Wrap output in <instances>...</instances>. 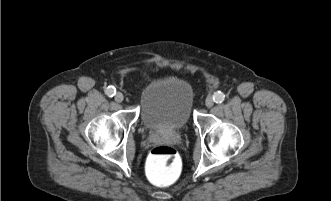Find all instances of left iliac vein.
Masks as SVG:
<instances>
[{"label": "left iliac vein", "mask_w": 331, "mask_h": 201, "mask_svg": "<svg viewBox=\"0 0 331 201\" xmlns=\"http://www.w3.org/2000/svg\"><path fill=\"white\" fill-rule=\"evenodd\" d=\"M205 105L210 108L214 105V100L211 96H208L205 101Z\"/></svg>", "instance_id": "obj_1"}]
</instances>
